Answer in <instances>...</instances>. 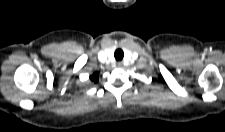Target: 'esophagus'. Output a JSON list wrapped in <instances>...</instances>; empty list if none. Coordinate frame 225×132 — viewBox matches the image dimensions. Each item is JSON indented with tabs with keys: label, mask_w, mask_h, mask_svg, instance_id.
Returning <instances> with one entry per match:
<instances>
[{
	"label": "esophagus",
	"mask_w": 225,
	"mask_h": 132,
	"mask_svg": "<svg viewBox=\"0 0 225 132\" xmlns=\"http://www.w3.org/2000/svg\"><path fill=\"white\" fill-rule=\"evenodd\" d=\"M117 66H118V67H122V62H118V63H117Z\"/></svg>",
	"instance_id": "obj_1"
}]
</instances>
